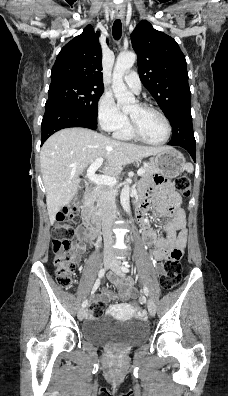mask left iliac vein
Here are the masks:
<instances>
[{
	"label": "left iliac vein",
	"mask_w": 228,
	"mask_h": 396,
	"mask_svg": "<svg viewBox=\"0 0 228 396\" xmlns=\"http://www.w3.org/2000/svg\"><path fill=\"white\" fill-rule=\"evenodd\" d=\"M111 269L116 275H118L120 277H124L125 274H124V271L122 270V267H121V264L119 261L114 260L112 263ZM147 307H148L149 314L151 316H154L156 309H155V304L152 300H148Z\"/></svg>",
	"instance_id": "left-iliac-vein-1"
}]
</instances>
